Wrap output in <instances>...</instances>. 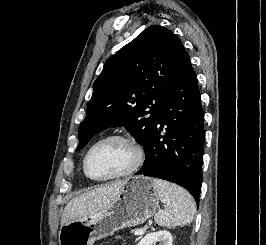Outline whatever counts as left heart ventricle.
<instances>
[{
	"instance_id": "obj_1",
	"label": "left heart ventricle",
	"mask_w": 266,
	"mask_h": 245,
	"mask_svg": "<svg viewBox=\"0 0 266 245\" xmlns=\"http://www.w3.org/2000/svg\"><path fill=\"white\" fill-rule=\"evenodd\" d=\"M135 157L134 148L127 142L111 139L97 145L90 154L88 170L97 178L117 176L127 171Z\"/></svg>"
}]
</instances>
